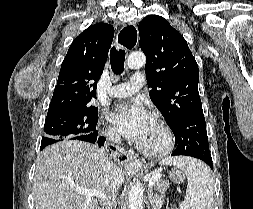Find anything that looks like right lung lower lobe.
<instances>
[{"label":"right lung lower lobe","instance_id":"obj_1","mask_svg":"<svg viewBox=\"0 0 253 209\" xmlns=\"http://www.w3.org/2000/svg\"><path fill=\"white\" fill-rule=\"evenodd\" d=\"M96 129V126H95ZM98 136V132L94 131L92 133H90L89 135H81L76 137L77 140H82V141H86V142H90V143H98L99 146L104 144L105 139L103 137H97Z\"/></svg>","mask_w":253,"mask_h":209}]
</instances>
